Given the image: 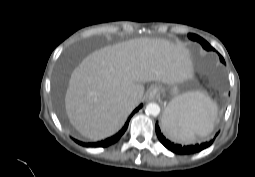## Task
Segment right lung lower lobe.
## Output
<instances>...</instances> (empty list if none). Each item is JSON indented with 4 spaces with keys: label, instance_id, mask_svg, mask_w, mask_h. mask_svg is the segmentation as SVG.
<instances>
[{
    "label": "right lung lower lobe",
    "instance_id": "1",
    "mask_svg": "<svg viewBox=\"0 0 255 177\" xmlns=\"http://www.w3.org/2000/svg\"><path fill=\"white\" fill-rule=\"evenodd\" d=\"M142 107V104L140 106H138L134 111L133 113L131 114V116L129 117V119L127 120V122L125 123L124 127L117 133L115 134L114 136L112 137H109L105 140H102L100 142H95V143H84V142H80L78 140H75L78 144L84 146V147H107V146H110L114 143H116L120 138L121 136L125 133L127 127H128V124H129V120L130 118Z\"/></svg>",
    "mask_w": 255,
    "mask_h": 177
}]
</instances>
